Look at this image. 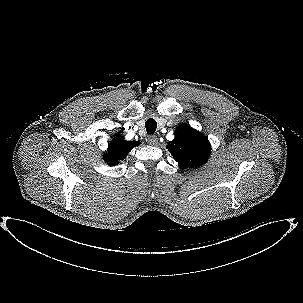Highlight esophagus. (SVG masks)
Masks as SVG:
<instances>
[{
    "mask_svg": "<svg viewBox=\"0 0 303 303\" xmlns=\"http://www.w3.org/2000/svg\"><path fill=\"white\" fill-rule=\"evenodd\" d=\"M148 143L150 145H156V144H158V138H157V136H155V135L148 136Z\"/></svg>",
    "mask_w": 303,
    "mask_h": 303,
    "instance_id": "1",
    "label": "esophagus"
}]
</instances>
